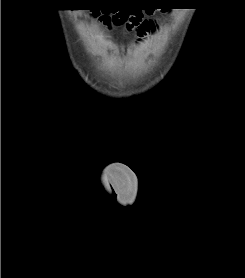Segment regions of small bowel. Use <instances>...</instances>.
Listing matches in <instances>:
<instances>
[{
    "mask_svg": "<svg viewBox=\"0 0 245 278\" xmlns=\"http://www.w3.org/2000/svg\"><path fill=\"white\" fill-rule=\"evenodd\" d=\"M120 1H129V0H120Z\"/></svg>",
    "mask_w": 245,
    "mask_h": 278,
    "instance_id": "small-bowel-1",
    "label": "small bowel"
}]
</instances>
